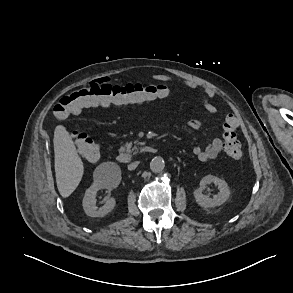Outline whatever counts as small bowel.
<instances>
[{
  "label": "small bowel",
  "instance_id": "1",
  "mask_svg": "<svg viewBox=\"0 0 293 293\" xmlns=\"http://www.w3.org/2000/svg\"><path fill=\"white\" fill-rule=\"evenodd\" d=\"M153 79L160 81L162 83L173 81L172 77H170L168 75H164V74L154 75ZM183 83L189 88H192V89L197 88V84L194 82L183 81ZM167 90H168V88H167ZM168 93H169V90H168ZM214 97H215L214 90H212L210 88L204 89V91H203V105H204L205 109L209 113H212V114L217 112V107L213 103L210 102V100ZM155 101L156 100H149V101L133 103V104H137V105L152 104ZM202 126H203V123L197 119H191L187 122V127L192 130H198V129L202 128ZM223 149H224V142L220 138H214L210 141V143L205 148L200 147V146H195L193 148V153L198 158V160H200L201 162H207L209 160L215 159L223 151Z\"/></svg>",
  "mask_w": 293,
  "mask_h": 293
}]
</instances>
